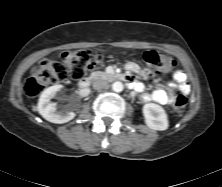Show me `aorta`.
<instances>
[{"label":"aorta","instance_id":"1","mask_svg":"<svg viewBox=\"0 0 222 187\" xmlns=\"http://www.w3.org/2000/svg\"><path fill=\"white\" fill-rule=\"evenodd\" d=\"M112 90H113L114 92H117V93L121 92V91L123 90V84H122V82H120V81L114 82V83L112 84Z\"/></svg>","mask_w":222,"mask_h":187}]
</instances>
